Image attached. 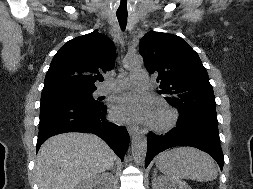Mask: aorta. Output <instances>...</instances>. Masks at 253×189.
Wrapping results in <instances>:
<instances>
[{
	"label": "aorta",
	"instance_id": "1",
	"mask_svg": "<svg viewBox=\"0 0 253 189\" xmlns=\"http://www.w3.org/2000/svg\"><path fill=\"white\" fill-rule=\"evenodd\" d=\"M142 63L140 56H134L128 59L127 67L130 69L140 68ZM131 149L134 160L137 163H143L147 152V137L143 132H137L132 137Z\"/></svg>",
	"mask_w": 253,
	"mask_h": 189
}]
</instances>
